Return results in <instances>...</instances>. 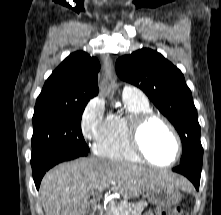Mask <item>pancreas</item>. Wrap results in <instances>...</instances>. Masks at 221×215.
Returning <instances> with one entry per match:
<instances>
[{
  "instance_id": "obj_1",
  "label": "pancreas",
  "mask_w": 221,
  "mask_h": 215,
  "mask_svg": "<svg viewBox=\"0 0 221 215\" xmlns=\"http://www.w3.org/2000/svg\"><path fill=\"white\" fill-rule=\"evenodd\" d=\"M147 206L146 202L114 204L107 207L104 215H141L144 208Z\"/></svg>"
}]
</instances>
